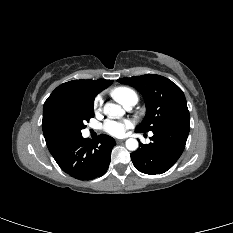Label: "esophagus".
<instances>
[{
    "mask_svg": "<svg viewBox=\"0 0 233 233\" xmlns=\"http://www.w3.org/2000/svg\"><path fill=\"white\" fill-rule=\"evenodd\" d=\"M116 142H117V143H122L123 140H119V139H118V140H116Z\"/></svg>",
    "mask_w": 233,
    "mask_h": 233,
    "instance_id": "1",
    "label": "esophagus"
}]
</instances>
